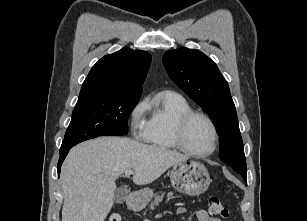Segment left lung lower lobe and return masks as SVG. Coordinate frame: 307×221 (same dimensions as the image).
<instances>
[{"label":"left lung lower lobe","instance_id":"left-lung-lower-lobe-1","mask_svg":"<svg viewBox=\"0 0 307 221\" xmlns=\"http://www.w3.org/2000/svg\"><path fill=\"white\" fill-rule=\"evenodd\" d=\"M241 176H242L243 179L246 181V174H241Z\"/></svg>","mask_w":307,"mask_h":221}]
</instances>
